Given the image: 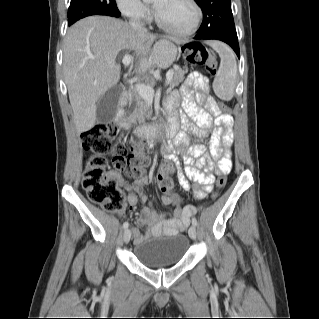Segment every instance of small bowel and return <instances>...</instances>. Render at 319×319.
<instances>
[{
  "label": "small bowel",
  "instance_id": "1",
  "mask_svg": "<svg viewBox=\"0 0 319 319\" xmlns=\"http://www.w3.org/2000/svg\"><path fill=\"white\" fill-rule=\"evenodd\" d=\"M180 101H182L184 113L179 115L177 108ZM212 102L206 79L198 72H191L181 84L179 93L172 95L167 101L169 115L180 121L182 131L175 136L169 148L170 153L166 156V162L160 168L156 183L159 185V178H168V175L176 168L179 185L185 191L191 190L196 200L203 199L211 193L212 185L218 175H226L231 171L234 119L229 113L213 114L210 111ZM191 136L197 141L191 143ZM207 138H209V154L216 162L214 173H211L213 164H207V148L202 143ZM183 149L185 151L182 156L186 162L184 170L180 167V159L177 155V152ZM111 174L118 184L128 191L127 202L130 207L135 206L139 200L143 203L142 215L138 218L137 224L145 227L148 234H174L183 231L196 213L195 206H182L179 194L167 192L161 196V200L164 204L175 207V216L167 218L164 212L155 210L151 201L147 202L148 198L144 192L148 183L147 178H139L132 183H127L118 173ZM189 179L194 183L191 184ZM131 231L135 242H141L143 237L139 230L132 226Z\"/></svg>",
  "mask_w": 319,
  "mask_h": 319
}]
</instances>
